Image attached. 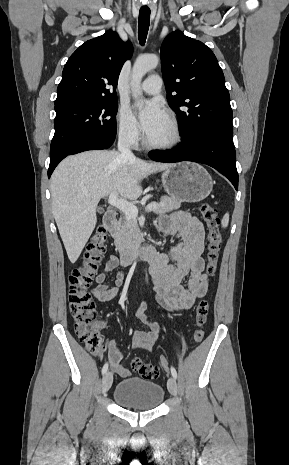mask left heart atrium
I'll list each match as a JSON object with an SVG mask.
<instances>
[{"label": "left heart atrium", "mask_w": 289, "mask_h": 465, "mask_svg": "<svg viewBox=\"0 0 289 465\" xmlns=\"http://www.w3.org/2000/svg\"><path fill=\"white\" fill-rule=\"evenodd\" d=\"M164 118L165 112L157 100H149L139 106L140 125L147 136L159 127Z\"/></svg>", "instance_id": "39dd6f15"}]
</instances>
